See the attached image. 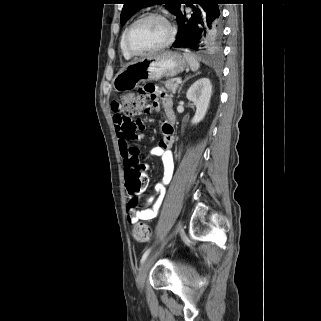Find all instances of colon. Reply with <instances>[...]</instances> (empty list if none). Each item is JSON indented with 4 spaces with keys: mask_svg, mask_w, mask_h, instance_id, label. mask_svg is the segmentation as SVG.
I'll list each match as a JSON object with an SVG mask.
<instances>
[{
    "mask_svg": "<svg viewBox=\"0 0 321 321\" xmlns=\"http://www.w3.org/2000/svg\"><path fill=\"white\" fill-rule=\"evenodd\" d=\"M117 105L119 113L127 119L150 110L147 98L137 96V94L122 95ZM144 170L145 165L136 158L130 160L126 165L125 183L128 193L133 197V204L148 183ZM132 235L136 241L146 243L151 239L152 229L145 223H137L132 228Z\"/></svg>",
    "mask_w": 321,
    "mask_h": 321,
    "instance_id": "5ec220e1",
    "label": "colon"
}]
</instances>
